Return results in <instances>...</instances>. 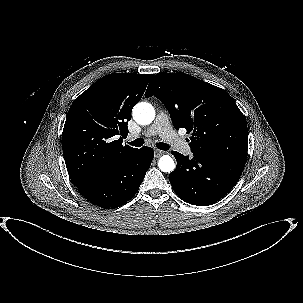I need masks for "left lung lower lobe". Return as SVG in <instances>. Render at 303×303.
Returning <instances> with one entry per match:
<instances>
[{
    "instance_id": "left-lung-lower-lobe-1",
    "label": "left lung lower lobe",
    "mask_w": 303,
    "mask_h": 303,
    "mask_svg": "<svg viewBox=\"0 0 303 303\" xmlns=\"http://www.w3.org/2000/svg\"><path fill=\"white\" fill-rule=\"evenodd\" d=\"M176 169L169 174L174 192L185 202L197 206L214 204L238 182L245 158L208 153H194L193 157L172 152Z\"/></svg>"
}]
</instances>
